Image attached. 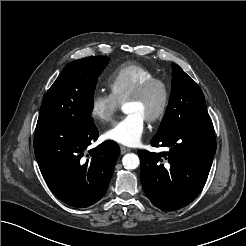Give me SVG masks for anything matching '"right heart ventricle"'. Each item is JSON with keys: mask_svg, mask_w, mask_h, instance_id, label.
<instances>
[{"mask_svg": "<svg viewBox=\"0 0 246 246\" xmlns=\"http://www.w3.org/2000/svg\"><path fill=\"white\" fill-rule=\"evenodd\" d=\"M153 77L155 72L141 64L124 63L110 73L107 86L115 99L123 103L142 83Z\"/></svg>", "mask_w": 246, "mask_h": 246, "instance_id": "obj_1", "label": "right heart ventricle"}]
</instances>
